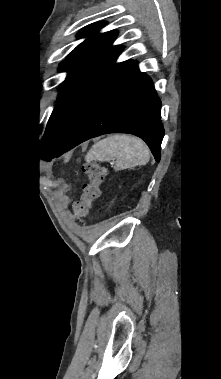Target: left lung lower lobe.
<instances>
[{
  "label": "left lung lower lobe",
  "instance_id": "0a47b994",
  "mask_svg": "<svg viewBox=\"0 0 221 379\" xmlns=\"http://www.w3.org/2000/svg\"><path fill=\"white\" fill-rule=\"evenodd\" d=\"M160 110L161 101L151 79L141 73L137 62L133 61L103 92L47 160L102 134L130 133L142 138L159 162L164 136Z\"/></svg>",
  "mask_w": 221,
  "mask_h": 379
}]
</instances>
